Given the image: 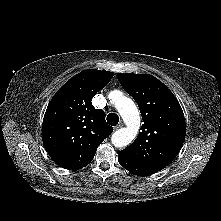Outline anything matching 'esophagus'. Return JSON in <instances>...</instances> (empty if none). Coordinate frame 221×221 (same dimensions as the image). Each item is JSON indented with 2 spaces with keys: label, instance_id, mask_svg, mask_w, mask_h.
<instances>
[{
  "label": "esophagus",
  "instance_id": "esophagus-1",
  "mask_svg": "<svg viewBox=\"0 0 221 221\" xmlns=\"http://www.w3.org/2000/svg\"><path fill=\"white\" fill-rule=\"evenodd\" d=\"M122 127H123V123L121 122L114 129L118 130V129L122 128Z\"/></svg>",
  "mask_w": 221,
  "mask_h": 221
}]
</instances>
